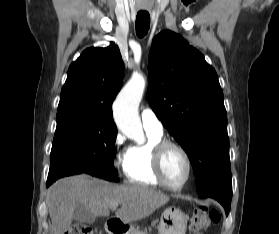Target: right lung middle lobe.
<instances>
[{"label": "right lung middle lobe", "mask_w": 279, "mask_h": 234, "mask_svg": "<svg viewBox=\"0 0 279 234\" xmlns=\"http://www.w3.org/2000/svg\"><path fill=\"white\" fill-rule=\"evenodd\" d=\"M47 184L64 176L88 173L118 181L113 149L117 128L83 114L57 115Z\"/></svg>", "instance_id": "right-lung-middle-lobe-1"}]
</instances>
